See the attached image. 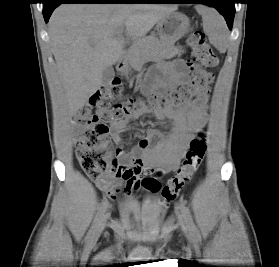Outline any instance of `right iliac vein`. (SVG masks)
I'll return each instance as SVG.
<instances>
[{
    "mask_svg": "<svg viewBox=\"0 0 279 267\" xmlns=\"http://www.w3.org/2000/svg\"><path fill=\"white\" fill-rule=\"evenodd\" d=\"M106 218H107L106 216H103L101 221L98 223L91 240L95 241L99 238L100 234L102 233V231L105 227Z\"/></svg>",
    "mask_w": 279,
    "mask_h": 267,
    "instance_id": "1",
    "label": "right iliac vein"
}]
</instances>
